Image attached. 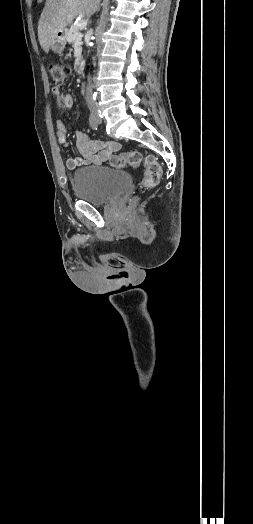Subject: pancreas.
Segmentation results:
<instances>
[{
    "instance_id": "1",
    "label": "pancreas",
    "mask_w": 253,
    "mask_h": 524,
    "mask_svg": "<svg viewBox=\"0 0 253 524\" xmlns=\"http://www.w3.org/2000/svg\"><path fill=\"white\" fill-rule=\"evenodd\" d=\"M65 37L66 40L73 45L74 49H76L77 56L76 60H79L81 57V51H82V37L83 34L81 33V30L75 26H71L69 29L65 31Z\"/></svg>"
}]
</instances>
